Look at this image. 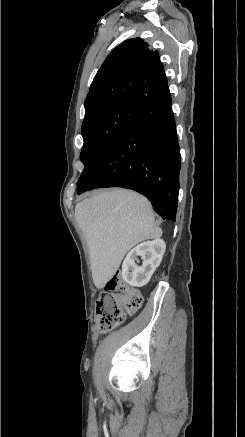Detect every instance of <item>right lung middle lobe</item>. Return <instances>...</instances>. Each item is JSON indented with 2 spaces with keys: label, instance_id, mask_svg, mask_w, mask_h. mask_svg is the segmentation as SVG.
Segmentation results:
<instances>
[{
  "label": "right lung middle lobe",
  "instance_id": "obj_1",
  "mask_svg": "<svg viewBox=\"0 0 245 437\" xmlns=\"http://www.w3.org/2000/svg\"><path fill=\"white\" fill-rule=\"evenodd\" d=\"M139 109V106L131 103L113 102L85 114L81 128L84 144L80 153L84 170L78 180L77 190Z\"/></svg>",
  "mask_w": 245,
  "mask_h": 437
}]
</instances>
